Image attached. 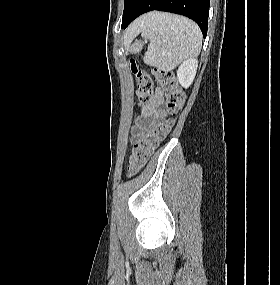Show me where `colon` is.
I'll return each mask as SVG.
<instances>
[{
  "mask_svg": "<svg viewBox=\"0 0 280 285\" xmlns=\"http://www.w3.org/2000/svg\"><path fill=\"white\" fill-rule=\"evenodd\" d=\"M131 70L136 78L135 94L139 104L149 103L154 86L157 84L167 107V116L155 121L151 128L134 142L128 160V173L133 176L144 167L150 155L170 132L175 117L183 107L184 94L172 72L155 69L150 74L139 69L134 61L131 62Z\"/></svg>",
  "mask_w": 280,
  "mask_h": 285,
  "instance_id": "1",
  "label": "colon"
}]
</instances>
